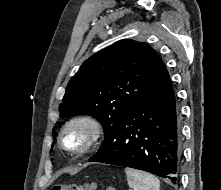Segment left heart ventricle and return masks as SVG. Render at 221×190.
I'll return each instance as SVG.
<instances>
[{
  "instance_id": "obj_1",
  "label": "left heart ventricle",
  "mask_w": 221,
  "mask_h": 190,
  "mask_svg": "<svg viewBox=\"0 0 221 190\" xmlns=\"http://www.w3.org/2000/svg\"><path fill=\"white\" fill-rule=\"evenodd\" d=\"M86 139V129L82 126H74L66 133V143L70 147L81 146Z\"/></svg>"
}]
</instances>
